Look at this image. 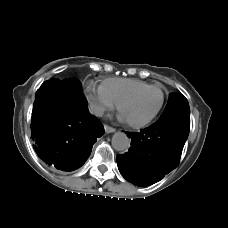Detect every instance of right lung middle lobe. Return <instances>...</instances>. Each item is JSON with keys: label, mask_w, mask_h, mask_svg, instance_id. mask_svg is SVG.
Here are the masks:
<instances>
[{"label": "right lung middle lobe", "mask_w": 228, "mask_h": 228, "mask_svg": "<svg viewBox=\"0 0 228 228\" xmlns=\"http://www.w3.org/2000/svg\"><path fill=\"white\" fill-rule=\"evenodd\" d=\"M50 82L54 84H62L63 87L65 88L68 97L71 99H75L78 97L79 94H81V84L78 80L76 79H71V80H66V81H61L56 78H52L49 80Z\"/></svg>", "instance_id": "right-lung-middle-lobe-1"}]
</instances>
